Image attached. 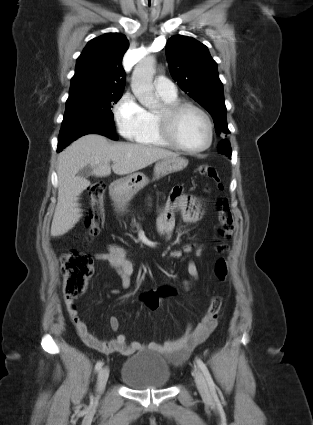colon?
Segmentation results:
<instances>
[{"label": "colon", "mask_w": 313, "mask_h": 425, "mask_svg": "<svg viewBox=\"0 0 313 425\" xmlns=\"http://www.w3.org/2000/svg\"><path fill=\"white\" fill-rule=\"evenodd\" d=\"M197 172L213 180L218 189H223V185L216 169L209 165H201ZM106 186L102 182H95L89 187V196L92 203L90 215L87 219L86 234L88 238L95 237L101 229L104 222L103 196ZM218 219V233L223 239L216 245L215 250L218 253H226L229 245L225 242L235 232L234 219L229 209L228 199L220 197L215 203ZM197 256L204 254V251L198 250ZM61 269L64 277L63 292L67 299H75L82 295L86 289L87 281L93 274L92 257L79 251H66L61 255ZM214 275L217 280L224 282L228 276V263L224 258H219L214 263ZM176 293L170 286H161L157 289L145 292L141 296L143 303L150 309H157L161 299L172 296ZM222 303L220 296H214L208 307V315L211 319L217 320L219 309Z\"/></svg>", "instance_id": "5ec220e1"}]
</instances>
